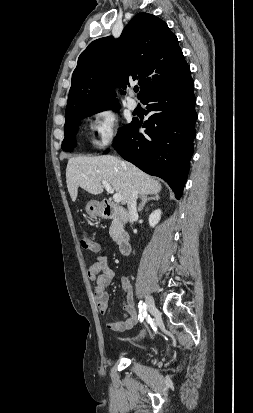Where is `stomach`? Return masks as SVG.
Wrapping results in <instances>:
<instances>
[{
  "label": "stomach",
  "instance_id": "stomach-1",
  "mask_svg": "<svg viewBox=\"0 0 253 413\" xmlns=\"http://www.w3.org/2000/svg\"><path fill=\"white\" fill-rule=\"evenodd\" d=\"M86 212L91 217L101 216L103 214V207L97 201H89L86 205Z\"/></svg>",
  "mask_w": 253,
  "mask_h": 413
}]
</instances>
